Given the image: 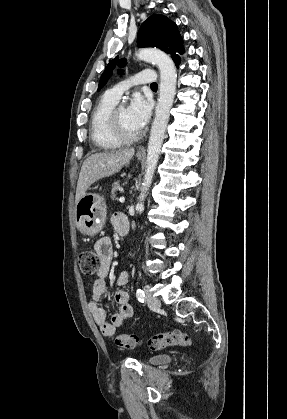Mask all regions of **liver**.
<instances>
[{
  "label": "liver",
  "instance_id": "6515ba94",
  "mask_svg": "<svg viewBox=\"0 0 287 419\" xmlns=\"http://www.w3.org/2000/svg\"><path fill=\"white\" fill-rule=\"evenodd\" d=\"M134 153L135 150L130 148L95 153L87 157L79 174L75 203H78L92 184L119 172L134 156Z\"/></svg>",
  "mask_w": 287,
  "mask_h": 419
}]
</instances>
